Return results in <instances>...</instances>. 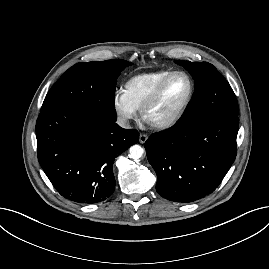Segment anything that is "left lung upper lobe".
<instances>
[{"label":"left lung upper lobe","mask_w":269,"mask_h":269,"mask_svg":"<svg viewBox=\"0 0 269 269\" xmlns=\"http://www.w3.org/2000/svg\"><path fill=\"white\" fill-rule=\"evenodd\" d=\"M190 72L195 91L177 124L185 125L218 113L239 114L236 96L225 78L207 62L175 61Z\"/></svg>","instance_id":"obj_1"}]
</instances>
